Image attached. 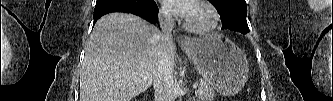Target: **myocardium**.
Returning a JSON list of instances; mask_svg holds the SVG:
<instances>
[{
    "mask_svg": "<svg viewBox=\"0 0 333 101\" xmlns=\"http://www.w3.org/2000/svg\"><path fill=\"white\" fill-rule=\"evenodd\" d=\"M195 4L204 7L208 11V13L210 14V17H211V21L208 25L200 27V26H195V25L191 24L185 18L184 27L188 31L196 33V34H207V33L214 31L218 27L219 22H220V16H219V13L216 10V8L208 1H204V0L196 1Z\"/></svg>",
    "mask_w": 333,
    "mask_h": 101,
    "instance_id": "myocardium-1",
    "label": "myocardium"
}]
</instances>
